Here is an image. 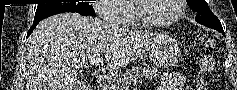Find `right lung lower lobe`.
Listing matches in <instances>:
<instances>
[{
  "mask_svg": "<svg viewBox=\"0 0 237 90\" xmlns=\"http://www.w3.org/2000/svg\"><path fill=\"white\" fill-rule=\"evenodd\" d=\"M84 16H88V15H84ZM40 21H34L33 25L31 26V28L29 29L28 33H27V37L33 32L34 28L36 27V25L39 23Z\"/></svg>",
  "mask_w": 237,
  "mask_h": 90,
  "instance_id": "obj_1",
  "label": "right lung lower lobe"
}]
</instances>
